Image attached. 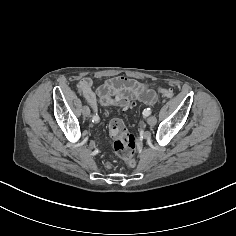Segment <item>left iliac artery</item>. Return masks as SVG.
Listing matches in <instances>:
<instances>
[{
	"instance_id": "1",
	"label": "left iliac artery",
	"mask_w": 236,
	"mask_h": 236,
	"mask_svg": "<svg viewBox=\"0 0 236 236\" xmlns=\"http://www.w3.org/2000/svg\"><path fill=\"white\" fill-rule=\"evenodd\" d=\"M151 114V109L150 108H147V109H145L144 111H143V115L144 116H148V115H150Z\"/></svg>"
}]
</instances>
